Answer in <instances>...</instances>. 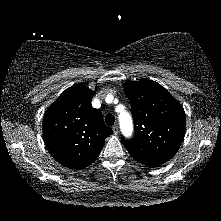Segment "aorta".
Returning a JSON list of instances; mask_svg holds the SVG:
<instances>
[{
    "label": "aorta",
    "mask_w": 221,
    "mask_h": 221,
    "mask_svg": "<svg viewBox=\"0 0 221 221\" xmlns=\"http://www.w3.org/2000/svg\"><path fill=\"white\" fill-rule=\"evenodd\" d=\"M119 124L122 133L126 136L129 137L132 135L133 132V120L131 115L124 111L119 114Z\"/></svg>",
    "instance_id": "aorta-1"
}]
</instances>
